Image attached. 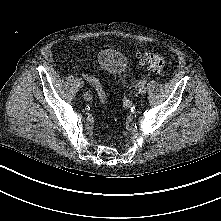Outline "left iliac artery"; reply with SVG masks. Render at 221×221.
Listing matches in <instances>:
<instances>
[{
  "instance_id": "left-iliac-artery-1",
  "label": "left iliac artery",
  "mask_w": 221,
  "mask_h": 221,
  "mask_svg": "<svg viewBox=\"0 0 221 221\" xmlns=\"http://www.w3.org/2000/svg\"><path fill=\"white\" fill-rule=\"evenodd\" d=\"M146 82H147V79H143V80H141V81L139 82V84H140V85H143V84H145ZM123 107H124L125 109L131 108V107H132V101H131L130 99H125V100L123 101Z\"/></svg>"
}]
</instances>
